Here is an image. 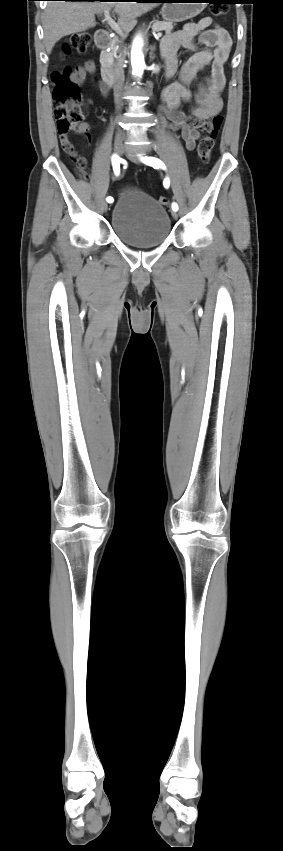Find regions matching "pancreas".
I'll return each instance as SVG.
<instances>
[{
  "mask_svg": "<svg viewBox=\"0 0 283 851\" xmlns=\"http://www.w3.org/2000/svg\"><path fill=\"white\" fill-rule=\"evenodd\" d=\"M152 30L156 32L165 31L167 34H170L173 30V24L171 22L155 21V23L152 25ZM119 52L120 49L118 47V41H113L111 44V51L106 52L101 57V63L103 65H112L114 63V60L119 58V56H117V53Z\"/></svg>",
  "mask_w": 283,
  "mask_h": 851,
  "instance_id": "pancreas-1",
  "label": "pancreas"
}]
</instances>
